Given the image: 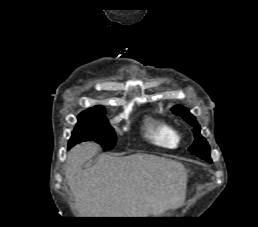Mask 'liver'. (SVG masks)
Here are the masks:
<instances>
[{
    "mask_svg": "<svg viewBox=\"0 0 258 227\" xmlns=\"http://www.w3.org/2000/svg\"><path fill=\"white\" fill-rule=\"evenodd\" d=\"M97 150L95 143L84 142L67 157L65 177L82 217L162 215L183 202L187 170L180 162L148 154H103L83 169Z\"/></svg>",
    "mask_w": 258,
    "mask_h": 227,
    "instance_id": "obj_1",
    "label": "liver"
}]
</instances>
